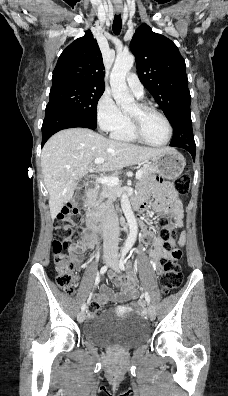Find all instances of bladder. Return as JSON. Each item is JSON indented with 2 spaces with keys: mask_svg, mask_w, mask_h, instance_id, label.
<instances>
[{
  "mask_svg": "<svg viewBox=\"0 0 228 396\" xmlns=\"http://www.w3.org/2000/svg\"><path fill=\"white\" fill-rule=\"evenodd\" d=\"M82 335L97 346L128 349L145 342L149 330L136 314L120 318L110 313H100L89 318Z\"/></svg>",
  "mask_w": 228,
  "mask_h": 396,
  "instance_id": "bladder-1",
  "label": "bladder"
}]
</instances>
